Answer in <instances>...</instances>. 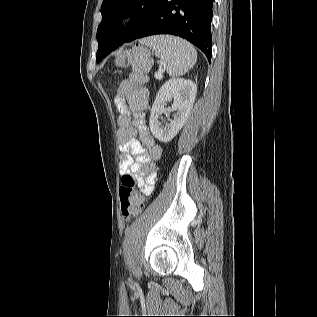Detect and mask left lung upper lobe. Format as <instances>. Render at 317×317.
<instances>
[{"label": "left lung upper lobe", "mask_w": 317, "mask_h": 317, "mask_svg": "<svg viewBox=\"0 0 317 317\" xmlns=\"http://www.w3.org/2000/svg\"><path fill=\"white\" fill-rule=\"evenodd\" d=\"M162 0H103L101 6L102 21L97 30L99 48L97 62L103 50V44L109 42L122 45L133 41L146 27L156 13ZM136 16L134 21L124 30H115L114 23L124 16ZM104 45V47H105Z\"/></svg>", "instance_id": "1"}]
</instances>
